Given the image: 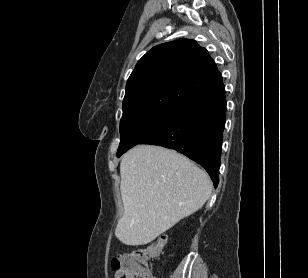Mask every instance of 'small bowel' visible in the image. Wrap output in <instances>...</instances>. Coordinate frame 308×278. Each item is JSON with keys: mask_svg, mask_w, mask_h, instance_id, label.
<instances>
[{"mask_svg": "<svg viewBox=\"0 0 308 278\" xmlns=\"http://www.w3.org/2000/svg\"><path fill=\"white\" fill-rule=\"evenodd\" d=\"M115 278H121V276L118 275V274H116V275H115ZM153 278H154V277H153Z\"/></svg>", "mask_w": 308, "mask_h": 278, "instance_id": "c3829d8e", "label": "small bowel"}]
</instances>
